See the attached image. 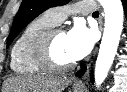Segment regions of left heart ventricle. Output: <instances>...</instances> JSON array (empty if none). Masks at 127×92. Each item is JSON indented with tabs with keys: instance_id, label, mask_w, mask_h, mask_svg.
Returning a JSON list of instances; mask_svg holds the SVG:
<instances>
[{
	"instance_id": "left-heart-ventricle-1",
	"label": "left heart ventricle",
	"mask_w": 127,
	"mask_h": 92,
	"mask_svg": "<svg viewBox=\"0 0 127 92\" xmlns=\"http://www.w3.org/2000/svg\"><path fill=\"white\" fill-rule=\"evenodd\" d=\"M54 57L60 63H68L74 61L71 57L67 45V33L61 32L56 35L53 43Z\"/></svg>"
}]
</instances>
